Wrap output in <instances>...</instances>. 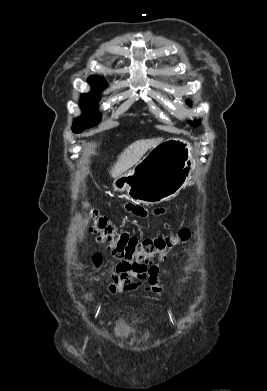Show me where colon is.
<instances>
[{"instance_id":"colon-1","label":"colon","mask_w":267,"mask_h":391,"mask_svg":"<svg viewBox=\"0 0 267 391\" xmlns=\"http://www.w3.org/2000/svg\"><path fill=\"white\" fill-rule=\"evenodd\" d=\"M86 214L91 233L99 243L107 245L116 259L147 270L155 269L157 261L166 259L179 243L187 241L191 236V230L183 228L176 236L140 240L128 233L118 232L97 209L86 207Z\"/></svg>"}]
</instances>
